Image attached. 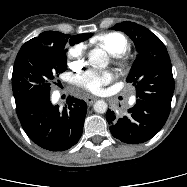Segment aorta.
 <instances>
[{
    "instance_id": "obj_1",
    "label": "aorta",
    "mask_w": 187,
    "mask_h": 187,
    "mask_svg": "<svg viewBox=\"0 0 187 187\" xmlns=\"http://www.w3.org/2000/svg\"><path fill=\"white\" fill-rule=\"evenodd\" d=\"M89 62L93 66L105 68L109 63V58L107 56V53L100 49L95 48L91 50L88 54ZM108 105L103 100H98L94 104V110L97 113L103 114L107 111Z\"/></svg>"
}]
</instances>
